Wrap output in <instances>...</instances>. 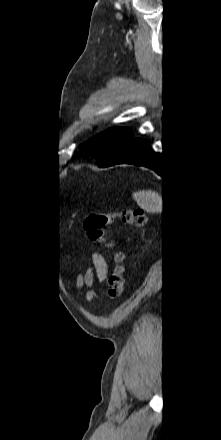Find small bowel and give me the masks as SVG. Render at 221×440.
Masks as SVG:
<instances>
[{
  "label": "small bowel",
  "mask_w": 221,
  "mask_h": 440,
  "mask_svg": "<svg viewBox=\"0 0 221 440\" xmlns=\"http://www.w3.org/2000/svg\"><path fill=\"white\" fill-rule=\"evenodd\" d=\"M93 269L99 281H105L107 277V263L101 255L95 254L93 256ZM92 279L93 274L91 272H87L84 275H78L76 279V287L81 289L85 284H90ZM87 299L93 301L96 299V296L93 292H88Z\"/></svg>",
  "instance_id": "small-bowel-1"
}]
</instances>
